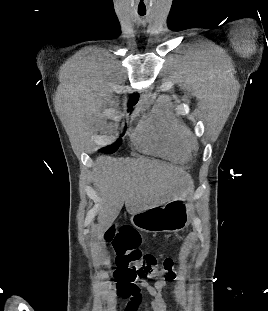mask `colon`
<instances>
[{
    "instance_id": "colon-1",
    "label": "colon",
    "mask_w": 268,
    "mask_h": 311,
    "mask_svg": "<svg viewBox=\"0 0 268 311\" xmlns=\"http://www.w3.org/2000/svg\"><path fill=\"white\" fill-rule=\"evenodd\" d=\"M105 239L116 254L114 277L118 282L120 295L127 297L136 292L137 279L174 278V261L166 258L159 267L157 258L153 254L143 253L139 249L141 237L134 229L111 226L105 233Z\"/></svg>"
}]
</instances>
